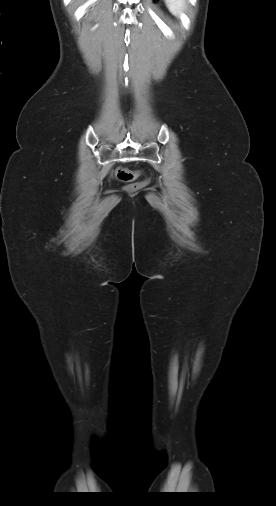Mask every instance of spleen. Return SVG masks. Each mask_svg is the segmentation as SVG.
<instances>
[{
  "instance_id": "obj_1",
  "label": "spleen",
  "mask_w": 276,
  "mask_h": 506,
  "mask_svg": "<svg viewBox=\"0 0 276 506\" xmlns=\"http://www.w3.org/2000/svg\"><path fill=\"white\" fill-rule=\"evenodd\" d=\"M170 12L175 16H179L186 8L185 0H165Z\"/></svg>"
}]
</instances>
